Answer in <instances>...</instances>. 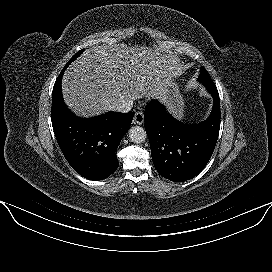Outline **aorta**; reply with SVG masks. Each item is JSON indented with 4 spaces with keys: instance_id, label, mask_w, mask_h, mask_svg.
Masks as SVG:
<instances>
[{
    "instance_id": "1",
    "label": "aorta",
    "mask_w": 272,
    "mask_h": 272,
    "mask_svg": "<svg viewBox=\"0 0 272 272\" xmlns=\"http://www.w3.org/2000/svg\"><path fill=\"white\" fill-rule=\"evenodd\" d=\"M146 131L143 127L134 126L129 130V138L131 142L141 144L146 140Z\"/></svg>"
}]
</instances>
